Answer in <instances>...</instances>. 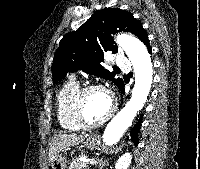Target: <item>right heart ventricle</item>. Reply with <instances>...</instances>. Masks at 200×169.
Returning <instances> with one entry per match:
<instances>
[{
  "label": "right heart ventricle",
  "instance_id": "obj_1",
  "mask_svg": "<svg viewBox=\"0 0 200 169\" xmlns=\"http://www.w3.org/2000/svg\"><path fill=\"white\" fill-rule=\"evenodd\" d=\"M81 89V85L74 79L67 81L57 94V116L62 129L70 132L79 131L81 128L77 124L73 113V102Z\"/></svg>",
  "mask_w": 200,
  "mask_h": 169
}]
</instances>
